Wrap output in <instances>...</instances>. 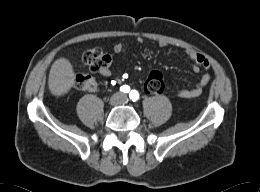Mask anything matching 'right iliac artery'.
I'll list each match as a JSON object with an SVG mask.
<instances>
[{
    "label": "right iliac artery",
    "instance_id": "right-iliac-artery-1",
    "mask_svg": "<svg viewBox=\"0 0 260 192\" xmlns=\"http://www.w3.org/2000/svg\"><path fill=\"white\" fill-rule=\"evenodd\" d=\"M120 90L123 93H128L130 91V87L127 85H123V86H121Z\"/></svg>",
    "mask_w": 260,
    "mask_h": 192
}]
</instances>
